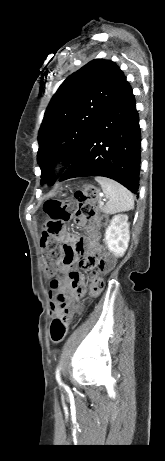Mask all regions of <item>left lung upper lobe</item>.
I'll return each mask as SVG.
<instances>
[{"mask_svg": "<svg viewBox=\"0 0 165 461\" xmlns=\"http://www.w3.org/2000/svg\"><path fill=\"white\" fill-rule=\"evenodd\" d=\"M125 81L115 62L95 59L61 84L39 130L37 161L42 179H48L55 161L73 159Z\"/></svg>", "mask_w": 165, "mask_h": 461, "instance_id": "5c2ea615", "label": "left lung upper lobe"}]
</instances>
